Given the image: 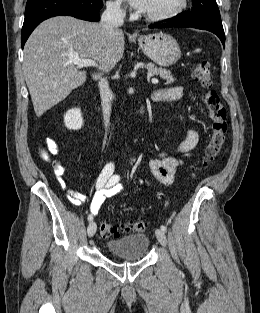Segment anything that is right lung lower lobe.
I'll return each mask as SVG.
<instances>
[{
    "mask_svg": "<svg viewBox=\"0 0 260 313\" xmlns=\"http://www.w3.org/2000/svg\"><path fill=\"white\" fill-rule=\"evenodd\" d=\"M101 0H28L21 32L22 48L35 27L50 17L67 15L87 21H99Z\"/></svg>",
    "mask_w": 260,
    "mask_h": 313,
    "instance_id": "1",
    "label": "right lung lower lobe"
}]
</instances>
